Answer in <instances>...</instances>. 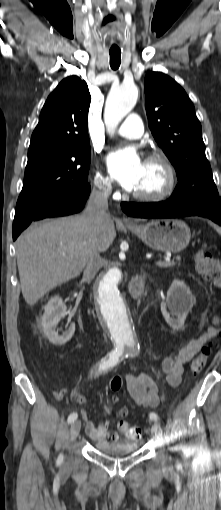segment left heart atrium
I'll return each mask as SVG.
<instances>
[{
	"label": "left heart atrium",
	"mask_w": 221,
	"mask_h": 510,
	"mask_svg": "<svg viewBox=\"0 0 221 510\" xmlns=\"http://www.w3.org/2000/svg\"><path fill=\"white\" fill-rule=\"evenodd\" d=\"M107 163L118 183L127 191H135L144 165L137 151L130 147L111 152Z\"/></svg>",
	"instance_id": "left-heart-atrium-1"
}]
</instances>
